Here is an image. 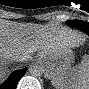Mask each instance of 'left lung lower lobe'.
<instances>
[{"label": "left lung lower lobe", "instance_id": "0a47b994", "mask_svg": "<svg viewBox=\"0 0 89 89\" xmlns=\"http://www.w3.org/2000/svg\"><path fill=\"white\" fill-rule=\"evenodd\" d=\"M77 28L84 31L85 33L89 34V28L87 26H80V27H77Z\"/></svg>", "mask_w": 89, "mask_h": 89}]
</instances>
